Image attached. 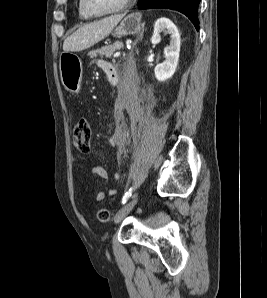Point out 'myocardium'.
I'll return each instance as SVG.
<instances>
[{
  "instance_id": "1",
  "label": "myocardium",
  "mask_w": 267,
  "mask_h": 298,
  "mask_svg": "<svg viewBox=\"0 0 267 298\" xmlns=\"http://www.w3.org/2000/svg\"><path fill=\"white\" fill-rule=\"evenodd\" d=\"M132 1L133 0H124L117 9H115L113 11H109V12H104V13H97V12L90 10L89 7L87 6L86 0H80V3H81V7H82L83 11L88 16H90V17H106V16L123 13L130 6Z\"/></svg>"
}]
</instances>
